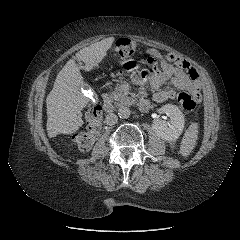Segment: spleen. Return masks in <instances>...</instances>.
Here are the masks:
<instances>
[{"label": "spleen", "mask_w": 240, "mask_h": 240, "mask_svg": "<svg viewBox=\"0 0 240 240\" xmlns=\"http://www.w3.org/2000/svg\"><path fill=\"white\" fill-rule=\"evenodd\" d=\"M197 138H198V124L191 123V125L185 132L180 145V154L182 156L186 157L191 153L196 144Z\"/></svg>", "instance_id": "3e777b00"}]
</instances>
